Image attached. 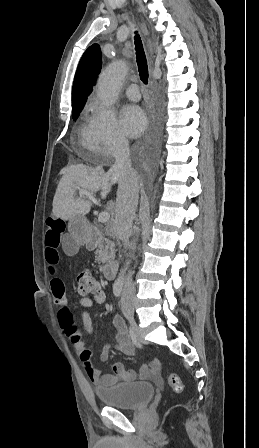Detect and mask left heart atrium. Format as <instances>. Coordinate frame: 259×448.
<instances>
[{
  "label": "left heart atrium",
  "mask_w": 259,
  "mask_h": 448,
  "mask_svg": "<svg viewBox=\"0 0 259 448\" xmlns=\"http://www.w3.org/2000/svg\"><path fill=\"white\" fill-rule=\"evenodd\" d=\"M120 124L127 136L136 137L145 129L147 121L139 106L127 105L121 111Z\"/></svg>",
  "instance_id": "39dd6f15"
}]
</instances>
